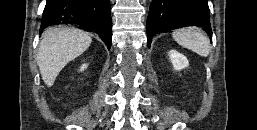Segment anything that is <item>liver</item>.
Returning a JSON list of instances; mask_svg holds the SVG:
<instances>
[{
  "mask_svg": "<svg viewBox=\"0 0 257 130\" xmlns=\"http://www.w3.org/2000/svg\"><path fill=\"white\" fill-rule=\"evenodd\" d=\"M91 42V37L79 29H47L43 33L37 54V64L44 83L51 87L60 71L85 52Z\"/></svg>",
  "mask_w": 257,
  "mask_h": 130,
  "instance_id": "liver-1",
  "label": "liver"
}]
</instances>
